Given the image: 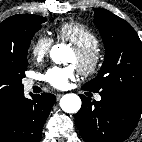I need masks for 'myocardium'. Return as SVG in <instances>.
<instances>
[{"instance_id":"f54148a6","label":"myocardium","mask_w":142,"mask_h":142,"mask_svg":"<svg viewBox=\"0 0 142 142\" xmlns=\"http://www.w3.org/2000/svg\"><path fill=\"white\" fill-rule=\"evenodd\" d=\"M77 69L83 76H92L102 67L104 56L99 47L75 48Z\"/></svg>"}]
</instances>
